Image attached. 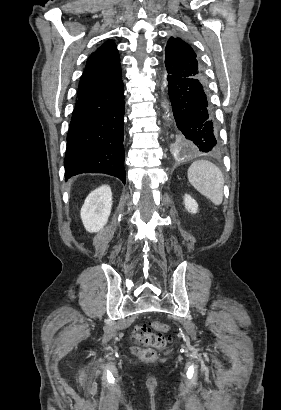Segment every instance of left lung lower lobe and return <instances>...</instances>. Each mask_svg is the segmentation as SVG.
I'll return each instance as SVG.
<instances>
[{
  "label": "left lung lower lobe",
  "mask_w": 281,
  "mask_h": 410,
  "mask_svg": "<svg viewBox=\"0 0 281 410\" xmlns=\"http://www.w3.org/2000/svg\"><path fill=\"white\" fill-rule=\"evenodd\" d=\"M166 80L179 142L200 152L217 151L220 144L205 81L174 75Z\"/></svg>",
  "instance_id": "obj_1"
}]
</instances>
